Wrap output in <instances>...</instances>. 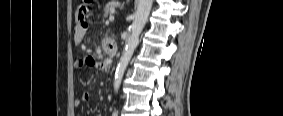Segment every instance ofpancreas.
Here are the masks:
<instances>
[{"label": "pancreas", "instance_id": "pancreas-1", "mask_svg": "<svg viewBox=\"0 0 283 116\" xmlns=\"http://www.w3.org/2000/svg\"><path fill=\"white\" fill-rule=\"evenodd\" d=\"M119 6L120 3L118 1L109 2L104 9V17L107 18L108 16H111L113 14L112 10Z\"/></svg>", "mask_w": 283, "mask_h": 116}]
</instances>
